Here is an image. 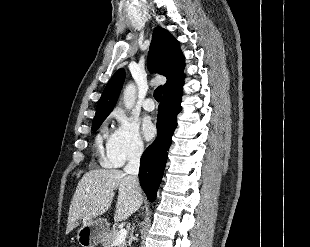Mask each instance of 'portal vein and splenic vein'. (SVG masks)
Masks as SVG:
<instances>
[{"label":"portal vein and splenic vein","mask_w":310,"mask_h":247,"mask_svg":"<svg viewBox=\"0 0 310 247\" xmlns=\"http://www.w3.org/2000/svg\"><path fill=\"white\" fill-rule=\"evenodd\" d=\"M126 237H127V230L124 228L120 229L115 239L113 240L112 246H117L118 244H121L122 242L125 241Z\"/></svg>","instance_id":"18ae733b"}]
</instances>
